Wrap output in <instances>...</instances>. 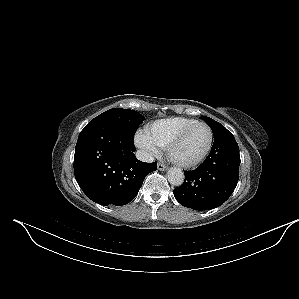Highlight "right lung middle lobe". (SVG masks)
Returning <instances> with one entry per match:
<instances>
[{
    "mask_svg": "<svg viewBox=\"0 0 299 299\" xmlns=\"http://www.w3.org/2000/svg\"><path fill=\"white\" fill-rule=\"evenodd\" d=\"M94 119L114 122L130 134L134 135V133L138 129L139 124L143 122L144 117L134 110L113 108L100 114Z\"/></svg>",
    "mask_w": 299,
    "mask_h": 299,
    "instance_id": "obj_1",
    "label": "right lung middle lobe"
}]
</instances>
